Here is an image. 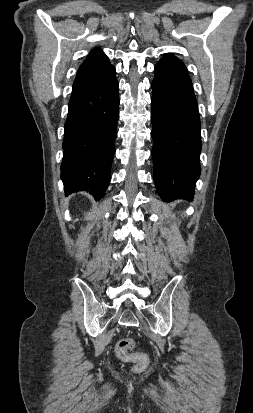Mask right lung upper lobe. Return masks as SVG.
Returning <instances> with one entry per match:
<instances>
[{"instance_id": "1", "label": "right lung upper lobe", "mask_w": 253, "mask_h": 413, "mask_svg": "<svg viewBox=\"0 0 253 413\" xmlns=\"http://www.w3.org/2000/svg\"><path fill=\"white\" fill-rule=\"evenodd\" d=\"M112 67L107 56L99 48L93 49L77 71L72 94L92 87Z\"/></svg>"}]
</instances>
